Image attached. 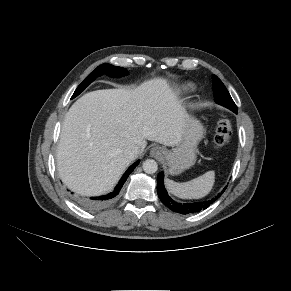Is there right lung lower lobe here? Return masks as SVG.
Returning a JSON list of instances; mask_svg holds the SVG:
<instances>
[{
    "label": "right lung lower lobe",
    "mask_w": 291,
    "mask_h": 291,
    "mask_svg": "<svg viewBox=\"0 0 291 291\" xmlns=\"http://www.w3.org/2000/svg\"><path fill=\"white\" fill-rule=\"evenodd\" d=\"M139 162H140L139 160L136 161L134 164H132L127 169V171L125 172L123 177L120 179L118 185L109 194H106V195H103V196H99V197L81 198V199H79V202L83 206H85V207H87L89 209H100V208H104V207L108 206L109 204H111L117 198L118 194L121 191V188H122L123 184L127 180V178L130 175V173L139 164Z\"/></svg>",
    "instance_id": "right-lung-lower-lobe-1"
}]
</instances>
